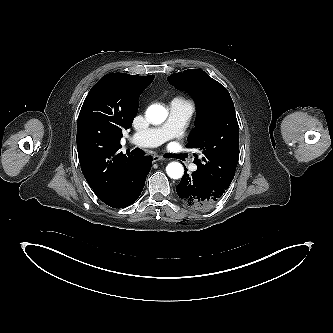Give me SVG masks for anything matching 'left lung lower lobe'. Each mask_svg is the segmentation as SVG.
Instances as JSON below:
<instances>
[{"mask_svg": "<svg viewBox=\"0 0 333 333\" xmlns=\"http://www.w3.org/2000/svg\"><path fill=\"white\" fill-rule=\"evenodd\" d=\"M176 191L186 205L196 210H207L216 204L226 189L196 170L191 175L184 173Z\"/></svg>", "mask_w": 333, "mask_h": 333, "instance_id": "1", "label": "left lung lower lobe"}]
</instances>
